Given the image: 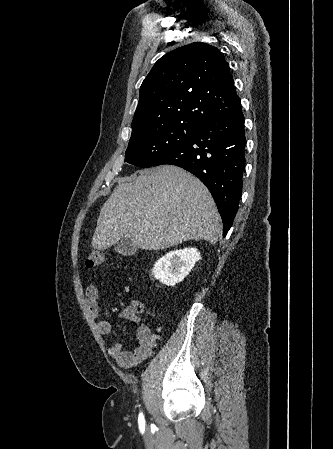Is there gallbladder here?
Listing matches in <instances>:
<instances>
[{
  "label": "gallbladder",
  "instance_id": "1",
  "mask_svg": "<svg viewBox=\"0 0 333 449\" xmlns=\"http://www.w3.org/2000/svg\"><path fill=\"white\" fill-rule=\"evenodd\" d=\"M114 250L120 255L129 256L138 250V247L133 243L131 238L122 237L121 240L115 245Z\"/></svg>",
  "mask_w": 333,
  "mask_h": 449
}]
</instances>
